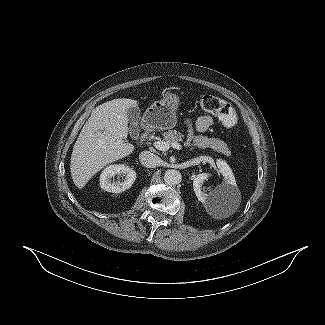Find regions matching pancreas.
Masks as SVG:
<instances>
[{
  "mask_svg": "<svg viewBox=\"0 0 325 325\" xmlns=\"http://www.w3.org/2000/svg\"><path fill=\"white\" fill-rule=\"evenodd\" d=\"M164 137V140L166 142L172 143V142H182L184 135L180 132H177L176 130H168L167 132H164L162 134ZM184 145L186 146H197L199 148H211L214 151H217L218 153H222L226 156H230L231 152L225 142L222 140H219L217 138H208L207 136L203 135H197L193 137V143L185 142Z\"/></svg>",
  "mask_w": 325,
  "mask_h": 325,
  "instance_id": "obj_1",
  "label": "pancreas"
}]
</instances>
